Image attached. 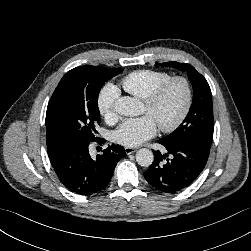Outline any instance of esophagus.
Returning <instances> with one entry per match:
<instances>
[{
  "mask_svg": "<svg viewBox=\"0 0 251 251\" xmlns=\"http://www.w3.org/2000/svg\"><path fill=\"white\" fill-rule=\"evenodd\" d=\"M136 148H131V147H126L125 148V152H126V154L127 155H129V154H133L134 152H136Z\"/></svg>",
  "mask_w": 251,
  "mask_h": 251,
  "instance_id": "obj_1",
  "label": "esophagus"
}]
</instances>
